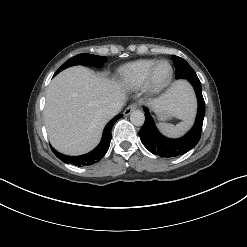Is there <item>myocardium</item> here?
<instances>
[{"mask_svg": "<svg viewBox=\"0 0 247 247\" xmlns=\"http://www.w3.org/2000/svg\"><path fill=\"white\" fill-rule=\"evenodd\" d=\"M162 63H167L169 65V69H170L169 75L165 80L157 81L155 79L156 70L159 67V65H161ZM173 74H174L173 66L168 60H165V59L158 60L151 67V69L149 70V72L147 74V77H146L145 82L143 84L144 91L146 93H149V94H155V93L160 92L161 90H163L166 86H168L170 84V82L173 79Z\"/></svg>", "mask_w": 247, "mask_h": 247, "instance_id": "myocardium-1", "label": "myocardium"}]
</instances>
